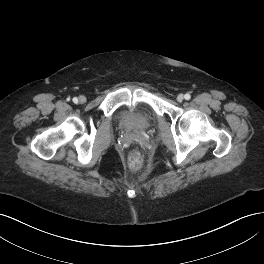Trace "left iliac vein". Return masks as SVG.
Instances as JSON below:
<instances>
[{
    "label": "left iliac vein",
    "mask_w": 264,
    "mask_h": 264,
    "mask_svg": "<svg viewBox=\"0 0 264 264\" xmlns=\"http://www.w3.org/2000/svg\"><path fill=\"white\" fill-rule=\"evenodd\" d=\"M184 100V96H183V94H179L178 96H177V101L178 102H182Z\"/></svg>",
    "instance_id": "4c4485c4"
}]
</instances>
